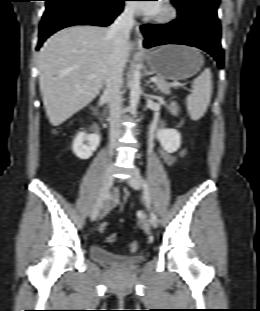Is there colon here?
Returning a JSON list of instances; mask_svg holds the SVG:
<instances>
[{"label":"colon","instance_id":"colon-1","mask_svg":"<svg viewBox=\"0 0 260 311\" xmlns=\"http://www.w3.org/2000/svg\"><path fill=\"white\" fill-rule=\"evenodd\" d=\"M108 226H109L108 222H102V223L100 224L99 231H100V232L106 231L107 228H108ZM116 239H117V234L112 233V234H110V235L107 236L106 242H108V243H114V242L116 241ZM139 246H140V245H139V242H138V241H132V242L129 243L128 248H129V251H130V252L135 253V252L138 251Z\"/></svg>","mask_w":260,"mask_h":311}]
</instances>
